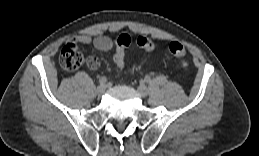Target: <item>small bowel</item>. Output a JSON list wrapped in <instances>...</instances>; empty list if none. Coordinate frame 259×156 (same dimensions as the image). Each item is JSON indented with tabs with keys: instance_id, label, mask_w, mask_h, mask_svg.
I'll list each match as a JSON object with an SVG mask.
<instances>
[{
	"instance_id": "c3829d8e",
	"label": "small bowel",
	"mask_w": 259,
	"mask_h": 156,
	"mask_svg": "<svg viewBox=\"0 0 259 156\" xmlns=\"http://www.w3.org/2000/svg\"><path fill=\"white\" fill-rule=\"evenodd\" d=\"M91 43L100 51H109L114 47V40L105 35H99L93 39L87 35H77L72 37L68 42L72 46L88 45ZM88 66L91 70H96L99 66L98 59L91 57L88 61Z\"/></svg>"
}]
</instances>
